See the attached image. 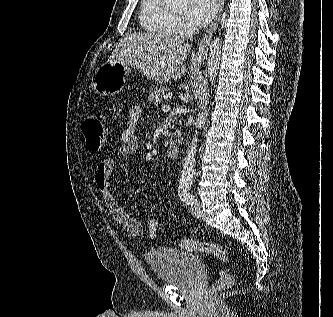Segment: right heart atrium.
Returning a JSON list of instances; mask_svg holds the SVG:
<instances>
[{
	"mask_svg": "<svg viewBox=\"0 0 333 317\" xmlns=\"http://www.w3.org/2000/svg\"><path fill=\"white\" fill-rule=\"evenodd\" d=\"M177 29L179 33L186 34L191 31L190 26L181 18H177Z\"/></svg>",
	"mask_w": 333,
	"mask_h": 317,
	"instance_id": "d8ad5b80",
	"label": "right heart atrium"
}]
</instances>
